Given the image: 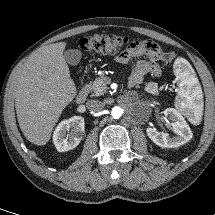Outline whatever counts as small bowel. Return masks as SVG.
Returning a JSON list of instances; mask_svg holds the SVG:
<instances>
[{
  "mask_svg": "<svg viewBox=\"0 0 215 215\" xmlns=\"http://www.w3.org/2000/svg\"><path fill=\"white\" fill-rule=\"evenodd\" d=\"M162 51L160 47L153 41L143 40L133 42L124 52L116 56V61L120 64H127L134 58L146 57L147 60H140L137 62L129 84L136 86L142 83L146 75L159 77L161 75V68L159 60Z\"/></svg>",
  "mask_w": 215,
  "mask_h": 215,
  "instance_id": "obj_1",
  "label": "small bowel"
}]
</instances>
